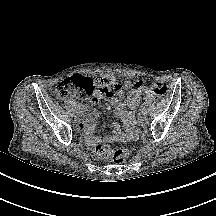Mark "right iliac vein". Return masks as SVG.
I'll return each mask as SVG.
<instances>
[{
	"instance_id": "63e3f726",
	"label": "right iliac vein",
	"mask_w": 216,
	"mask_h": 216,
	"mask_svg": "<svg viewBox=\"0 0 216 216\" xmlns=\"http://www.w3.org/2000/svg\"><path fill=\"white\" fill-rule=\"evenodd\" d=\"M82 115H83L82 111L80 113L77 111L76 120H80L82 118Z\"/></svg>"
}]
</instances>
